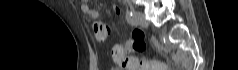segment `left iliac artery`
Here are the masks:
<instances>
[{
  "mask_svg": "<svg viewBox=\"0 0 238 70\" xmlns=\"http://www.w3.org/2000/svg\"><path fill=\"white\" fill-rule=\"evenodd\" d=\"M126 20L128 23L135 25V21H134V14H133V10L132 8H127L126 9Z\"/></svg>",
  "mask_w": 238,
  "mask_h": 70,
  "instance_id": "obj_1",
  "label": "left iliac artery"
}]
</instances>
